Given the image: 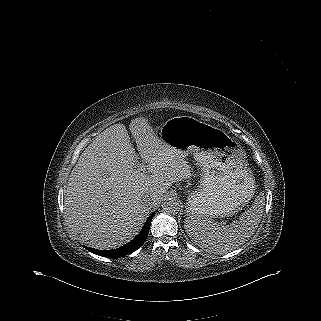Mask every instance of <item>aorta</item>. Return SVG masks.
<instances>
[{"mask_svg":"<svg viewBox=\"0 0 321 321\" xmlns=\"http://www.w3.org/2000/svg\"><path fill=\"white\" fill-rule=\"evenodd\" d=\"M181 205L177 198L169 196L164 199L162 209L168 214H177L180 211Z\"/></svg>","mask_w":321,"mask_h":321,"instance_id":"aorta-1","label":"aorta"}]
</instances>
